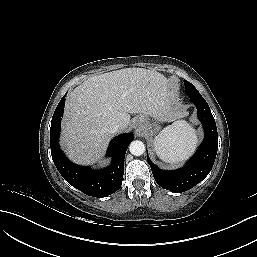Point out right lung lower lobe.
<instances>
[{
    "mask_svg": "<svg viewBox=\"0 0 257 257\" xmlns=\"http://www.w3.org/2000/svg\"><path fill=\"white\" fill-rule=\"evenodd\" d=\"M65 96L59 102L51 121L50 146L53 162L62 177L73 187L89 196L106 197L121 187L125 153L134 136L127 133L112 139L107 152L108 156L112 157V163L107 168L93 170L71 163L59 147Z\"/></svg>",
    "mask_w": 257,
    "mask_h": 257,
    "instance_id": "obj_1",
    "label": "right lung lower lobe"
}]
</instances>
